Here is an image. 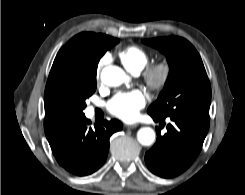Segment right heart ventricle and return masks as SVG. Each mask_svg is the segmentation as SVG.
I'll return each instance as SVG.
<instances>
[{
    "mask_svg": "<svg viewBox=\"0 0 245 195\" xmlns=\"http://www.w3.org/2000/svg\"><path fill=\"white\" fill-rule=\"evenodd\" d=\"M118 56L124 67L131 73L137 74L149 64V54L139 46L131 45L121 49Z\"/></svg>",
    "mask_w": 245,
    "mask_h": 195,
    "instance_id": "right-heart-ventricle-1",
    "label": "right heart ventricle"
}]
</instances>
